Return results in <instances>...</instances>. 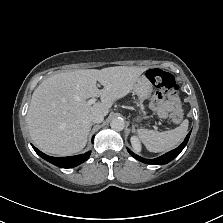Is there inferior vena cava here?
Here are the masks:
<instances>
[{"label":"inferior vena cava","mask_w":223,"mask_h":223,"mask_svg":"<svg viewBox=\"0 0 223 223\" xmlns=\"http://www.w3.org/2000/svg\"><path fill=\"white\" fill-rule=\"evenodd\" d=\"M89 119L94 123H101L104 120V115L100 111H94L90 114Z\"/></svg>","instance_id":"inferior-vena-cava-1"}]
</instances>
